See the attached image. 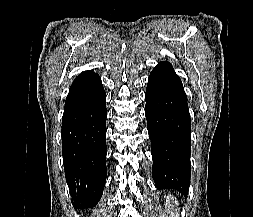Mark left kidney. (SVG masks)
Wrapping results in <instances>:
<instances>
[{
    "mask_svg": "<svg viewBox=\"0 0 253 217\" xmlns=\"http://www.w3.org/2000/svg\"><path fill=\"white\" fill-rule=\"evenodd\" d=\"M171 203L178 205V202L175 200L173 196H167L166 197V205H170Z\"/></svg>",
    "mask_w": 253,
    "mask_h": 217,
    "instance_id": "5707ae66",
    "label": "left kidney"
}]
</instances>
